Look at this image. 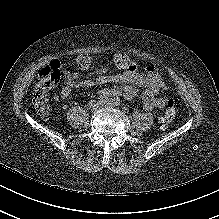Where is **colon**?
<instances>
[{
	"mask_svg": "<svg viewBox=\"0 0 219 219\" xmlns=\"http://www.w3.org/2000/svg\"><path fill=\"white\" fill-rule=\"evenodd\" d=\"M90 65V63H89ZM61 65L58 61H52L38 74L33 86L34 103L42 116H48L51 106L47 101L50 90L55 88L61 79ZM167 110L161 120L162 127H168L175 117V104L172 99H166Z\"/></svg>",
	"mask_w": 219,
	"mask_h": 219,
	"instance_id": "1",
	"label": "colon"
}]
</instances>
